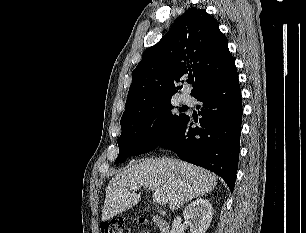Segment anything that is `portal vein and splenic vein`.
I'll return each mask as SVG.
<instances>
[{
    "instance_id": "1",
    "label": "portal vein and splenic vein",
    "mask_w": 306,
    "mask_h": 233,
    "mask_svg": "<svg viewBox=\"0 0 306 233\" xmlns=\"http://www.w3.org/2000/svg\"><path fill=\"white\" fill-rule=\"evenodd\" d=\"M138 188H140V186L135 185L131 186L130 190H137ZM153 199L160 205H165L167 203V198L165 195L158 192L153 193Z\"/></svg>"
}]
</instances>
